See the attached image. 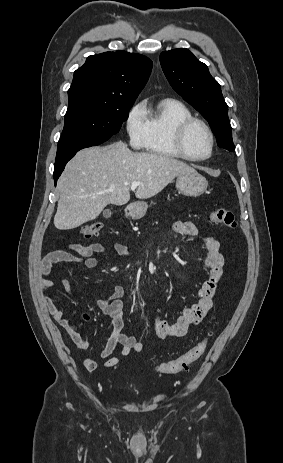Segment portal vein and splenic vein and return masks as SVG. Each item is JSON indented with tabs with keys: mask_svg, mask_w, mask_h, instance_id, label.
<instances>
[{
	"mask_svg": "<svg viewBox=\"0 0 283 463\" xmlns=\"http://www.w3.org/2000/svg\"><path fill=\"white\" fill-rule=\"evenodd\" d=\"M139 185H142V183H141V182H138V181L132 182V183H131V190H132V191H135L136 188H137Z\"/></svg>",
	"mask_w": 283,
	"mask_h": 463,
	"instance_id": "1",
	"label": "portal vein and splenic vein"
}]
</instances>
